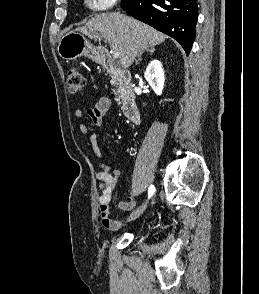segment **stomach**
Listing matches in <instances>:
<instances>
[{"label": "stomach", "mask_w": 259, "mask_h": 294, "mask_svg": "<svg viewBox=\"0 0 259 294\" xmlns=\"http://www.w3.org/2000/svg\"><path fill=\"white\" fill-rule=\"evenodd\" d=\"M58 54L66 60L81 56L94 57L89 41L78 30L67 32L59 41Z\"/></svg>", "instance_id": "stomach-1"}]
</instances>
